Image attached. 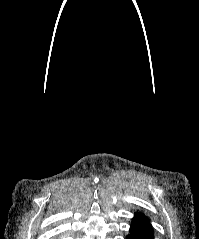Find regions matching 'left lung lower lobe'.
Returning <instances> with one entry per match:
<instances>
[{
	"mask_svg": "<svg viewBox=\"0 0 199 239\" xmlns=\"http://www.w3.org/2000/svg\"><path fill=\"white\" fill-rule=\"evenodd\" d=\"M126 239H154L149 218L136 212Z\"/></svg>",
	"mask_w": 199,
	"mask_h": 239,
	"instance_id": "0a47b994",
	"label": "left lung lower lobe"
}]
</instances>
